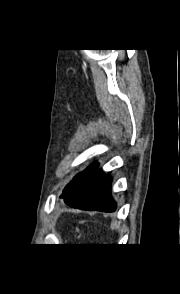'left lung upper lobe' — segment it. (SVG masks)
Masks as SVG:
<instances>
[{"mask_svg":"<svg viewBox=\"0 0 180 294\" xmlns=\"http://www.w3.org/2000/svg\"><path fill=\"white\" fill-rule=\"evenodd\" d=\"M77 177H78V175H76V176L74 177L73 180H75ZM73 182H74V181H73ZM73 182L71 181V182L65 187V189L63 190L62 196H61L62 198H64V197L67 195V193L69 192V190H70V188H71Z\"/></svg>","mask_w":180,"mask_h":294,"instance_id":"obj_1","label":"left lung upper lobe"}]
</instances>
